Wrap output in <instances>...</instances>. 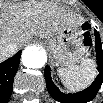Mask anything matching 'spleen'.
Here are the masks:
<instances>
[{
  "mask_svg": "<svg viewBox=\"0 0 103 103\" xmlns=\"http://www.w3.org/2000/svg\"><path fill=\"white\" fill-rule=\"evenodd\" d=\"M57 73L64 86L75 92L91 84L96 76V69L92 59H82L80 65L58 68Z\"/></svg>",
  "mask_w": 103,
  "mask_h": 103,
  "instance_id": "3e777b00",
  "label": "spleen"
}]
</instances>
